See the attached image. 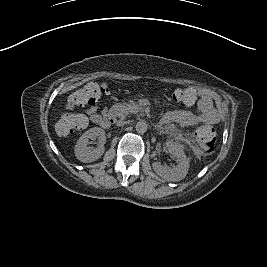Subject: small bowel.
<instances>
[{
	"mask_svg": "<svg viewBox=\"0 0 267 267\" xmlns=\"http://www.w3.org/2000/svg\"><path fill=\"white\" fill-rule=\"evenodd\" d=\"M190 93V101L188 105L192 106L197 103L200 110L199 116H193L184 112H172L167 113L163 118L162 122L165 124L168 123H178L185 127H191L198 123H203L205 125H213L219 119V114L214 108V94L204 88H187ZM72 109L73 106L70 105ZM84 112L89 116V120L101 127H105L103 123V118L97 113L95 105H86Z\"/></svg>",
	"mask_w": 267,
	"mask_h": 267,
	"instance_id": "1",
	"label": "small bowel"
}]
</instances>
